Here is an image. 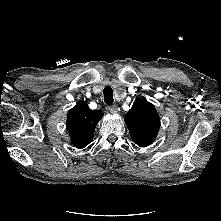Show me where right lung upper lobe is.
<instances>
[{"label":"right lung upper lobe","instance_id":"right-lung-upper-lobe-1","mask_svg":"<svg viewBox=\"0 0 221 221\" xmlns=\"http://www.w3.org/2000/svg\"><path fill=\"white\" fill-rule=\"evenodd\" d=\"M102 117V111L89 109L84 101L69 110L66 126L75 147L84 148L93 140L95 127Z\"/></svg>","mask_w":221,"mask_h":221}]
</instances>
